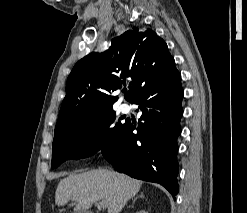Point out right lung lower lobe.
<instances>
[{"label": "right lung lower lobe", "instance_id": "1", "mask_svg": "<svg viewBox=\"0 0 247 213\" xmlns=\"http://www.w3.org/2000/svg\"><path fill=\"white\" fill-rule=\"evenodd\" d=\"M183 95L181 75L174 66L134 95L130 102L139 105L138 125L126 120L116 144L102 152L118 172L159 183L174 199L178 193L176 155Z\"/></svg>", "mask_w": 247, "mask_h": 213}]
</instances>
